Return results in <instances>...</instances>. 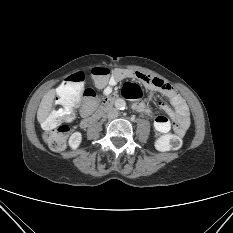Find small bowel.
Wrapping results in <instances>:
<instances>
[{
	"label": "small bowel",
	"instance_id": "obj_1",
	"mask_svg": "<svg viewBox=\"0 0 233 233\" xmlns=\"http://www.w3.org/2000/svg\"><path fill=\"white\" fill-rule=\"evenodd\" d=\"M126 79H131L134 82L141 83L151 91L159 92L170 100L174 109L165 103H158V107L170 118L168 119L164 115H158L155 117L154 127L158 132L165 134L172 129L177 135L180 136L185 133L190 124L188 107L184 99L171 84L162 79L139 71L117 68L114 70L107 84L104 86V94L106 96L112 94L113 87ZM129 85L131 89L125 96L132 100L133 109L139 114L146 116L152 115L153 107L150 104L142 101L139 85L136 83H129ZM94 107L95 105H90L85 101L80 108L81 117L84 118V120L89 118L94 110Z\"/></svg>",
	"mask_w": 233,
	"mask_h": 233
}]
</instances>
